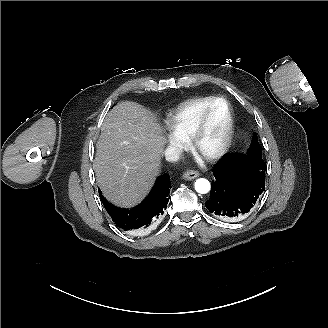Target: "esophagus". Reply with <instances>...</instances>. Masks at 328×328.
Listing matches in <instances>:
<instances>
[{"mask_svg": "<svg viewBox=\"0 0 328 328\" xmlns=\"http://www.w3.org/2000/svg\"><path fill=\"white\" fill-rule=\"evenodd\" d=\"M198 176H199V173L197 171L188 169L183 173L182 178L184 180H192Z\"/></svg>", "mask_w": 328, "mask_h": 328, "instance_id": "esophagus-1", "label": "esophagus"}]
</instances>
